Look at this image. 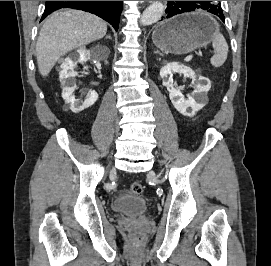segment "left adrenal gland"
Returning <instances> with one entry per match:
<instances>
[{"mask_svg":"<svg viewBox=\"0 0 271 266\" xmlns=\"http://www.w3.org/2000/svg\"><path fill=\"white\" fill-rule=\"evenodd\" d=\"M154 53L159 54L160 56H162V54L158 50H156Z\"/></svg>","mask_w":271,"mask_h":266,"instance_id":"obj_1","label":"left adrenal gland"}]
</instances>
